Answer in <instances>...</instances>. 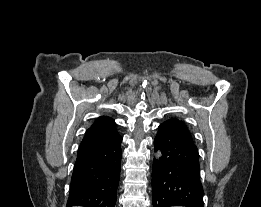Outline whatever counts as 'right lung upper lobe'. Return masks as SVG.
<instances>
[{"label":"right lung upper lobe","instance_id":"obj_1","mask_svg":"<svg viewBox=\"0 0 261 207\" xmlns=\"http://www.w3.org/2000/svg\"><path fill=\"white\" fill-rule=\"evenodd\" d=\"M120 135L116 123L110 117H99L86 131L78 151L91 149L117 139Z\"/></svg>","mask_w":261,"mask_h":207}]
</instances>
